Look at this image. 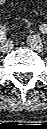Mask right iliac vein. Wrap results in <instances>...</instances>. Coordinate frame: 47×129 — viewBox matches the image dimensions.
Here are the masks:
<instances>
[{
	"mask_svg": "<svg viewBox=\"0 0 47 129\" xmlns=\"http://www.w3.org/2000/svg\"><path fill=\"white\" fill-rule=\"evenodd\" d=\"M12 47H13V44H12V41H11V40L3 41V42L1 43V46H0V48H1V50H2L3 52H8V51H10V50L12 49Z\"/></svg>",
	"mask_w": 47,
	"mask_h": 129,
	"instance_id": "right-iliac-vein-1",
	"label": "right iliac vein"
}]
</instances>
